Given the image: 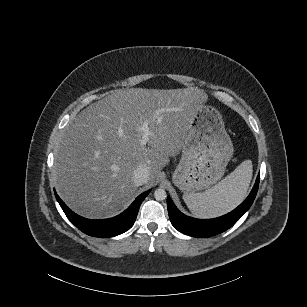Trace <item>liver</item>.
Masks as SVG:
<instances>
[{"mask_svg":"<svg viewBox=\"0 0 307 307\" xmlns=\"http://www.w3.org/2000/svg\"><path fill=\"white\" fill-rule=\"evenodd\" d=\"M207 100L201 90L118 89L82 110L67 126L56 149L54 184L63 201L91 219L110 217L136 191L133 173L140 164L155 180L169 156L184 146L190 120ZM161 113V121L155 118ZM149 122L148 147L141 146L140 126Z\"/></svg>","mask_w":307,"mask_h":307,"instance_id":"1","label":"liver"}]
</instances>
